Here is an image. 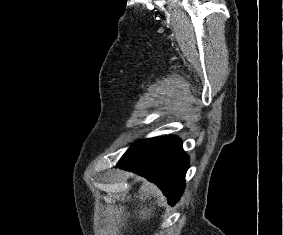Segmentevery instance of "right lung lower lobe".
<instances>
[{"label":"right lung lower lobe","mask_w":283,"mask_h":235,"mask_svg":"<svg viewBox=\"0 0 283 235\" xmlns=\"http://www.w3.org/2000/svg\"><path fill=\"white\" fill-rule=\"evenodd\" d=\"M119 167L135 172L163 191L168 202L174 205L184 190L185 174L189 166L182 142L176 136H168L134 161L118 162Z\"/></svg>","instance_id":"1"}]
</instances>
